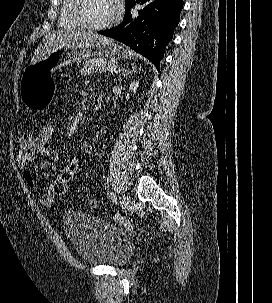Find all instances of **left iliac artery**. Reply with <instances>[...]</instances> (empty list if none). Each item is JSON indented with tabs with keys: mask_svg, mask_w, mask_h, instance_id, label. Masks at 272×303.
<instances>
[{
	"mask_svg": "<svg viewBox=\"0 0 272 303\" xmlns=\"http://www.w3.org/2000/svg\"><path fill=\"white\" fill-rule=\"evenodd\" d=\"M111 198H112V200L115 202V203H117V197H116V195L114 194V192H111Z\"/></svg>",
	"mask_w": 272,
	"mask_h": 303,
	"instance_id": "left-iliac-artery-1",
	"label": "left iliac artery"
}]
</instances>
